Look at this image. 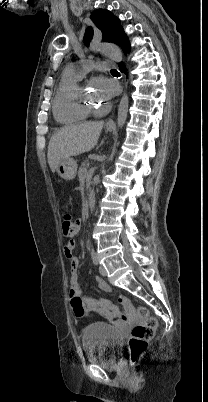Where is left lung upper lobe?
Returning <instances> with one entry per match:
<instances>
[{"instance_id": "5c2ea615", "label": "left lung upper lobe", "mask_w": 208, "mask_h": 402, "mask_svg": "<svg viewBox=\"0 0 208 402\" xmlns=\"http://www.w3.org/2000/svg\"><path fill=\"white\" fill-rule=\"evenodd\" d=\"M91 20L101 30L103 41L116 43L119 46L125 38L124 31L120 25L118 18H116L110 11L104 9H97L91 14ZM93 37L92 27H88L85 31L84 41L89 45Z\"/></svg>"}]
</instances>
